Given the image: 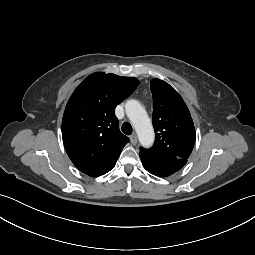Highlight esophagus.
<instances>
[{
    "mask_svg": "<svg viewBox=\"0 0 255 255\" xmlns=\"http://www.w3.org/2000/svg\"><path fill=\"white\" fill-rule=\"evenodd\" d=\"M130 141L133 145H136L137 144V135L136 134H132L130 136Z\"/></svg>",
    "mask_w": 255,
    "mask_h": 255,
    "instance_id": "obj_1",
    "label": "esophagus"
}]
</instances>
